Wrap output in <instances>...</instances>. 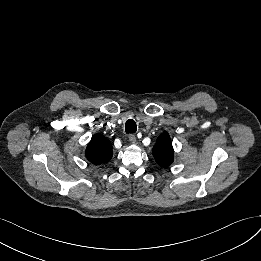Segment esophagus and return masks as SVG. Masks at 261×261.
I'll return each mask as SVG.
<instances>
[{"mask_svg": "<svg viewBox=\"0 0 261 261\" xmlns=\"http://www.w3.org/2000/svg\"><path fill=\"white\" fill-rule=\"evenodd\" d=\"M129 141H130L131 143H136V136H135L134 134H130V135H129Z\"/></svg>", "mask_w": 261, "mask_h": 261, "instance_id": "obj_1", "label": "esophagus"}]
</instances>
